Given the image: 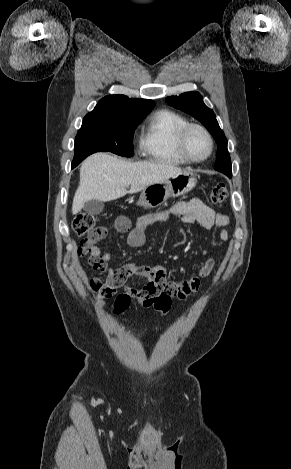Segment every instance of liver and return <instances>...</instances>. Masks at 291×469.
Returning <instances> with one entry per match:
<instances>
[{"label":"liver","mask_w":291,"mask_h":469,"mask_svg":"<svg viewBox=\"0 0 291 469\" xmlns=\"http://www.w3.org/2000/svg\"><path fill=\"white\" fill-rule=\"evenodd\" d=\"M180 172V168L165 163L130 162L106 153L93 154L81 165L80 182L73 198L72 213L80 212L89 200H116ZM128 186L129 191L126 190Z\"/></svg>","instance_id":"obj_1"}]
</instances>
